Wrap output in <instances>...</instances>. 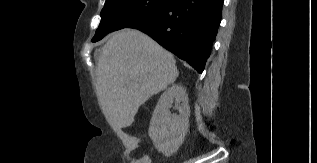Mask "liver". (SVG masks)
Masks as SVG:
<instances>
[{"mask_svg":"<svg viewBox=\"0 0 317 163\" xmlns=\"http://www.w3.org/2000/svg\"><path fill=\"white\" fill-rule=\"evenodd\" d=\"M174 57L148 35L125 28L111 34L102 47L95 89L110 126L134 122L139 107L175 82Z\"/></svg>","mask_w":317,"mask_h":163,"instance_id":"6515ba94","label":"liver"}]
</instances>
